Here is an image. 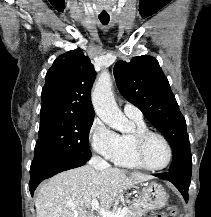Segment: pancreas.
Segmentation results:
<instances>
[{
  "label": "pancreas",
  "mask_w": 211,
  "mask_h": 217,
  "mask_svg": "<svg viewBox=\"0 0 211 217\" xmlns=\"http://www.w3.org/2000/svg\"><path fill=\"white\" fill-rule=\"evenodd\" d=\"M142 208L140 199H134L129 205V211L125 217H141Z\"/></svg>",
  "instance_id": "obj_1"
}]
</instances>
